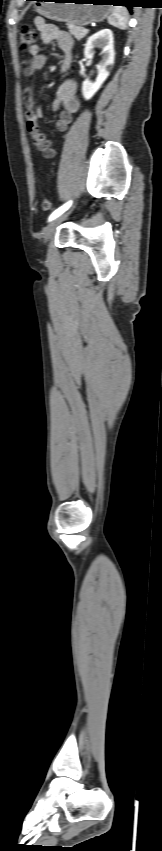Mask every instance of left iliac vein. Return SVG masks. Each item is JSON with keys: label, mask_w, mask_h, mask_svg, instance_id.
<instances>
[{"label": "left iliac vein", "mask_w": 162, "mask_h": 851, "mask_svg": "<svg viewBox=\"0 0 162 851\" xmlns=\"http://www.w3.org/2000/svg\"><path fill=\"white\" fill-rule=\"evenodd\" d=\"M70 212H71V210H69V211H67V212H65V213H62L61 215H59L58 217H56L55 219H53V220H52V221H51V222L47 225V227L45 228L44 233H43V241H44V243H47V242H48V241L52 238V236L54 235V233H55V231H56L57 226H58V225H59V224H60L63 220H65V219L67 218V216L70 214Z\"/></svg>", "instance_id": "4c4485c4"}]
</instances>
